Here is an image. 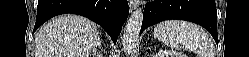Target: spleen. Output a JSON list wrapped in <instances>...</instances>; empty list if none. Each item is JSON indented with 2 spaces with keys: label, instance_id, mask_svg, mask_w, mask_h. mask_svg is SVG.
I'll return each mask as SVG.
<instances>
[{
  "label": "spleen",
  "instance_id": "spleen-1",
  "mask_svg": "<svg viewBox=\"0 0 249 57\" xmlns=\"http://www.w3.org/2000/svg\"><path fill=\"white\" fill-rule=\"evenodd\" d=\"M154 37L176 50H188L200 57H214V45L200 26L182 20H167L154 27Z\"/></svg>",
  "mask_w": 249,
  "mask_h": 57
}]
</instances>
